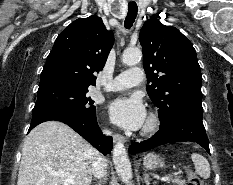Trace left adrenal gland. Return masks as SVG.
<instances>
[{
	"label": "left adrenal gland",
	"instance_id": "1",
	"mask_svg": "<svg viewBox=\"0 0 233 185\" xmlns=\"http://www.w3.org/2000/svg\"><path fill=\"white\" fill-rule=\"evenodd\" d=\"M151 181V178L149 177L148 173H144V182L146 185H149Z\"/></svg>",
	"mask_w": 233,
	"mask_h": 185
}]
</instances>
